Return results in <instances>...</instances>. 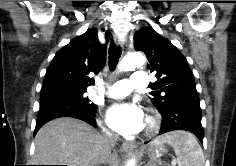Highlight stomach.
Here are the masks:
<instances>
[{"label": "stomach", "mask_w": 236, "mask_h": 166, "mask_svg": "<svg viewBox=\"0 0 236 166\" xmlns=\"http://www.w3.org/2000/svg\"><path fill=\"white\" fill-rule=\"evenodd\" d=\"M166 153L167 149L163 144H157L152 142L148 147V149L146 150V154L150 159L146 166H160L161 157Z\"/></svg>", "instance_id": "obj_1"}]
</instances>
